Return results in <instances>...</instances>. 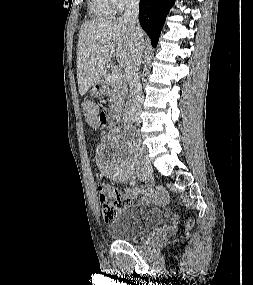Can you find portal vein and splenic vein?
Segmentation results:
<instances>
[{
    "mask_svg": "<svg viewBox=\"0 0 253 285\" xmlns=\"http://www.w3.org/2000/svg\"><path fill=\"white\" fill-rule=\"evenodd\" d=\"M109 48L111 50V52L115 51V47L114 45L110 44ZM122 73H121V69L119 66H114L112 69V74H111V80L114 82H119L121 79Z\"/></svg>",
    "mask_w": 253,
    "mask_h": 285,
    "instance_id": "1",
    "label": "portal vein and splenic vein"
}]
</instances>
